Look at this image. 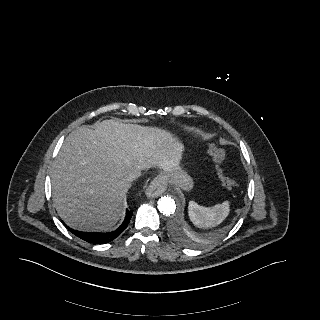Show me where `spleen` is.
<instances>
[{
  "mask_svg": "<svg viewBox=\"0 0 320 320\" xmlns=\"http://www.w3.org/2000/svg\"><path fill=\"white\" fill-rule=\"evenodd\" d=\"M230 212L229 201L216 204L212 207H204L191 201L188 206V214L194 225L200 228H212L222 223Z\"/></svg>",
  "mask_w": 320,
  "mask_h": 320,
  "instance_id": "3e777b00",
  "label": "spleen"
}]
</instances>
